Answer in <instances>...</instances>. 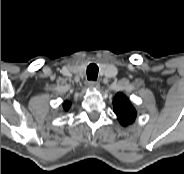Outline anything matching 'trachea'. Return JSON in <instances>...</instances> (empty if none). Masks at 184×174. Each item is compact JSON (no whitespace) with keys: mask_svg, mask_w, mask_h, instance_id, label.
I'll return each mask as SVG.
<instances>
[{"mask_svg":"<svg viewBox=\"0 0 184 174\" xmlns=\"http://www.w3.org/2000/svg\"><path fill=\"white\" fill-rule=\"evenodd\" d=\"M98 66L94 63L89 64L87 67V78L91 81H96L98 77Z\"/></svg>","mask_w":184,"mask_h":174,"instance_id":"obj_1","label":"trachea"}]
</instances>
